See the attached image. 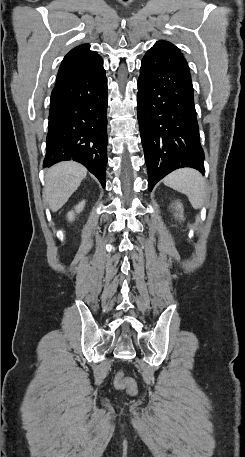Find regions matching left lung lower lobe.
<instances>
[{
    "label": "left lung lower lobe",
    "instance_id": "obj_1",
    "mask_svg": "<svg viewBox=\"0 0 245 457\" xmlns=\"http://www.w3.org/2000/svg\"><path fill=\"white\" fill-rule=\"evenodd\" d=\"M137 114L149 191L171 171L204 172V151L187 61L170 42L159 41L145 54L138 78Z\"/></svg>",
    "mask_w": 245,
    "mask_h": 457
}]
</instances>
